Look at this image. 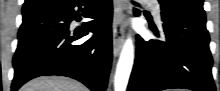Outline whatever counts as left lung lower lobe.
Returning a JSON list of instances; mask_svg holds the SVG:
<instances>
[{"mask_svg": "<svg viewBox=\"0 0 220 91\" xmlns=\"http://www.w3.org/2000/svg\"><path fill=\"white\" fill-rule=\"evenodd\" d=\"M135 15H139V10H135ZM161 20L165 41L146 42L137 37L128 91H215L206 18L161 5ZM150 29L160 37L155 27Z\"/></svg>", "mask_w": 220, "mask_h": 91, "instance_id": "1", "label": "left lung lower lobe"}]
</instances>
